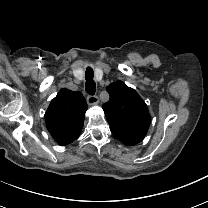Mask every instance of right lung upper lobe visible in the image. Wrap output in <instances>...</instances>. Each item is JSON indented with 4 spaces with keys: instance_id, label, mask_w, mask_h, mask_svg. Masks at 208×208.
I'll use <instances>...</instances> for the list:
<instances>
[{
    "instance_id": "obj_1",
    "label": "right lung upper lobe",
    "mask_w": 208,
    "mask_h": 208,
    "mask_svg": "<svg viewBox=\"0 0 208 208\" xmlns=\"http://www.w3.org/2000/svg\"><path fill=\"white\" fill-rule=\"evenodd\" d=\"M88 109L80 92L61 89L45 113L46 126L54 140L61 146L76 140L83 128Z\"/></svg>"
}]
</instances>
